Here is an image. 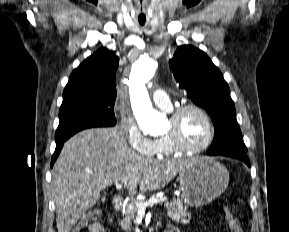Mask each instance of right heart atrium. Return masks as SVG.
Instances as JSON below:
<instances>
[{
    "label": "right heart atrium",
    "instance_id": "obj_1",
    "mask_svg": "<svg viewBox=\"0 0 289 232\" xmlns=\"http://www.w3.org/2000/svg\"><path fill=\"white\" fill-rule=\"evenodd\" d=\"M121 128L130 148L142 156H153L156 150V140L146 136L130 116H123Z\"/></svg>",
    "mask_w": 289,
    "mask_h": 232
}]
</instances>
